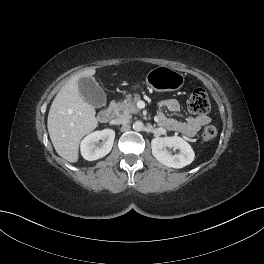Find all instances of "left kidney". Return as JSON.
Here are the masks:
<instances>
[{"label":"left kidney","mask_w":264,"mask_h":264,"mask_svg":"<svg viewBox=\"0 0 264 264\" xmlns=\"http://www.w3.org/2000/svg\"><path fill=\"white\" fill-rule=\"evenodd\" d=\"M167 148L179 150L172 154ZM152 155L161 164L171 168H183L194 160L195 153L191 146L181 137H156L151 141Z\"/></svg>","instance_id":"5707ae66"}]
</instances>
